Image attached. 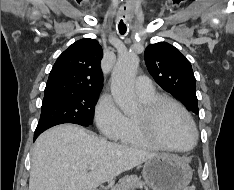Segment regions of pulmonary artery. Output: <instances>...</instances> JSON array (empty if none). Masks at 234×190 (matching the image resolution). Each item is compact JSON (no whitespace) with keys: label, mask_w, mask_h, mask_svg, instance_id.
<instances>
[{"label":"pulmonary artery","mask_w":234,"mask_h":190,"mask_svg":"<svg viewBox=\"0 0 234 190\" xmlns=\"http://www.w3.org/2000/svg\"><path fill=\"white\" fill-rule=\"evenodd\" d=\"M136 92L141 97L152 95L155 92L152 81L146 76L138 77L136 81Z\"/></svg>","instance_id":"1"}]
</instances>
